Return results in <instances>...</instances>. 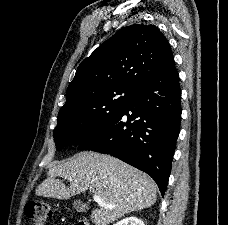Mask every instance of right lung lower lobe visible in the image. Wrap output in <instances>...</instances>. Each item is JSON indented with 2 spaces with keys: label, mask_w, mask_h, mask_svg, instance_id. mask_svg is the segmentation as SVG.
Wrapping results in <instances>:
<instances>
[{
  "label": "right lung lower lobe",
  "mask_w": 228,
  "mask_h": 225,
  "mask_svg": "<svg viewBox=\"0 0 228 225\" xmlns=\"http://www.w3.org/2000/svg\"><path fill=\"white\" fill-rule=\"evenodd\" d=\"M174 59L139 85L120 111L79 143L78 150L110 154L146 172L165 193L181 120Z\"/></svg>",
  "instance_id": "1"
}]
</instances>
